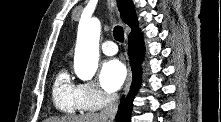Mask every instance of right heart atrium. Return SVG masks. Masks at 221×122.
Returning <instances> with one entry per match:
<instances>
[{
	"mask_svg": "<svg viewBox=\"0 0 221 122\" xmlns=\"http://www.w3.org/2000/svg\"><path fill=\"white\" fill-rule=\"evenodd\" d=\"M78 93L84 110H98L115 100L113 94L102 90L93 82L79 84Z\"/></svg>",
	"mask_w": 221,
	"mask_h": 122,
	"instance_id": "d8ad5b80",
	"label": "right heart atrium"
}]
</instances>
